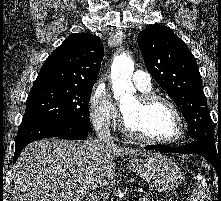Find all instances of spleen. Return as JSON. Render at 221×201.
I'll list each match as a JSON object with an SVG mask.
<instances>
[{
  "label": "spleen",
  "mask_w": 221,
  "mask_h": 201,
  "mask_svg": "<svg viewBox=\"0 0 221 201\" xmlns=\"http://www.w3.org/2000/svg\"><path fill=\"white\" fill-rule=\"evenodd\" d=\"M189 201H211L209 188L201 176H198L197 185L193 189Z\"/></svg>",
  "instance_id": "1"
}]
</instances>
